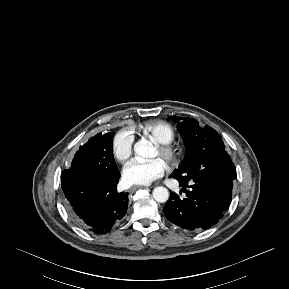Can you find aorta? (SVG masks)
<instances>
[{
	"label": "aorta",
	"mask_w": 289,
	"mask_h": 289,
	"mask_svg": "<svg viewBox=\"0 0 289 289\" xmlns=\"http://www.w3.org/2000/svg\"><path fill=\"white\" fill-rule=\"evenodd\" d=\"M152 150L153 146L147 140H140L134 145L135 154L143 158L151 157ZM152 194L153 198L159 203H164L169 199V191L163 186L154 188Z\"/></svg>",
	"instance_id": "obj_1"
}]
</instances>
